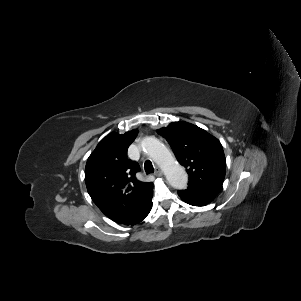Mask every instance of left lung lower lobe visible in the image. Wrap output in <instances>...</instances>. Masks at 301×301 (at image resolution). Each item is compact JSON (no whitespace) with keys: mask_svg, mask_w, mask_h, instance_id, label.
<instances>
[{"mask_svg":"<svg viewBox=\"0 0 301 301\" xmlns=\"http://www.w3.org/2000/svg\"><path fill=\"white\" fill-rule=\"evenodd\" d=\"M218 193L188 187L186 190H179L178 195L183 201L193 206H205L211 203Z\"/></svg>","mask_w":301,"mask_h":301,"instance_id":"left-lung-lower-lobe-1","label":"left lung lower lobe"}]
</instances>
